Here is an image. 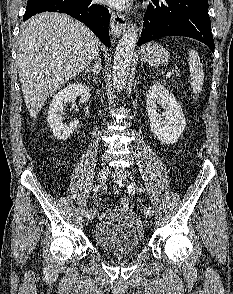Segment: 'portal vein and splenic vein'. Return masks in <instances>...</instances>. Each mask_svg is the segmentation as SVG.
<instances>
[{"instance_id":"obj_1","label":"portal vein and splenic vein","mask_w":233,"mask_h":294,"mask_svg":"<svg viewBox=\"0 0 233 294\" xmlns=\"http://www.w3.org/2000/svg\"><path fill=\"white\" fill-rule=\"evenodd\" d=\"M173 72L172 71H170V72H168L167 74H166V78H171L172 76H173Z\"/></svg>"}]
</instances>
